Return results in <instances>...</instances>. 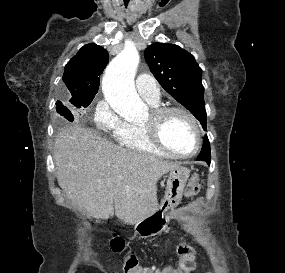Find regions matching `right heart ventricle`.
<instances>
[{"instance_id":"obj_1","label":"right heart ventricle","mask_w":285,"mask_h":273,"mask_svg":"<svg viewBox=\"0 0 285 273\" xmlns=\"http://www.w3.org/2000/svg\"><path fill=\"white\" fill-rule=\"evenodd\" d=\"M117 141L121 146L132 151L153 155H166V153L158 149L148 139L142 124L129 123L126 130L117 138Z\"/></svg>"}]
</instances>
